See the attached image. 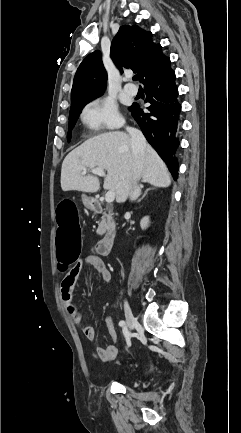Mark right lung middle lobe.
Segmentation results:
<instances>
[{"mask_svg": "<svg viewBox=\"0 0 241 433\" xmlns=\"http://www.w3.org/2000/svg\"><path fill=\"white\" fill-rule=\"evenodd\" d=\"M93 99H95V98L82 100V101L77 102L74 106H71V110L69 113V130H68V134H67L68 142L71 139V131L74 128L76 121H77L83 107Z\"/></svg>", "mask_w": 241, "mask_h": 433, "instance_id": "dd1d6c3e", "label": "right lung middle lobe"}]
</instances>
